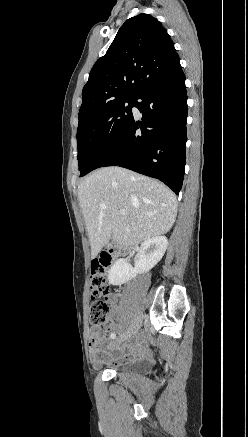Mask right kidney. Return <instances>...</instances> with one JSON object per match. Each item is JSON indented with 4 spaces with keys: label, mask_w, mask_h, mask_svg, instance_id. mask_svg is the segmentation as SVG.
<instances>
[{
    "label": "right kidney",
    "mask_w": 248,
    "mask_h": 437,
    "mask_svg": "<svg viewBox=\"0 0 248 437\" xmlns=\"http://www.w3.org/2000/svg\"><path fill=\"white\" fill-rule=\"evenodd\" d=\"M168 246L165 236H157L145 240L137 253V260L132 267L125 259L120 258L111 267L108 273L109 283L112 285H122L135 278L138 274H143L151 270L163 257Z\"/></svg>",
    "instance_id": "right-kidney-1"
}]
</instances>
